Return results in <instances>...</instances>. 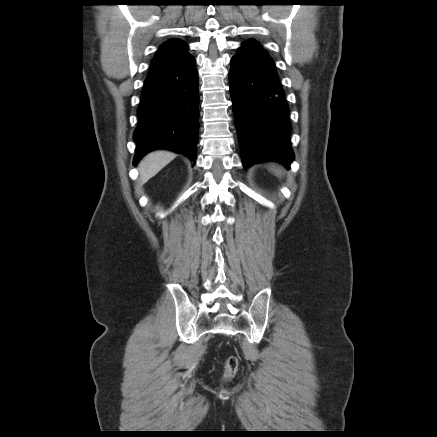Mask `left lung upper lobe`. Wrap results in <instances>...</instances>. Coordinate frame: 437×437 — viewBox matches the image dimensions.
I'll return each instance as SVG.
<instances>
[{
    "instance_id": "5c2ea615",
    "label": "left lung upper lobe",
    "mask_w": 437,
    "mask_h": 437,
    "mask_svg": "<svg viewBox=\"0 0 437 437\" xmlns=\"http://www.w3.org/2000/svg\"><path fill=\"white\" fill-rule=\"evenodd\" d=\"M243 43H246V44H248V45H250L252 47H255L256 49L262 51L263 53H265L269 57L268 53L262 49V47L260 46L259 42L251 39V40H247V41H245Z\"/></svg>"
}]
</instances>
